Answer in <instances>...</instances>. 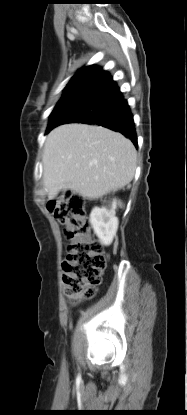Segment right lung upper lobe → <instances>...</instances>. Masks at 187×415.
Here are the masks:
<instances>
[{"mask_svg":"<svg viewBox=\"0 0 187 415\" xmlns=\"http://www.w3.org/2000/svg\"><path fill=\"white\" fill-rule=\"evenodd\" d=\"M98 69H100V67H97L95 65H90L87 66L81 70H79L70 80V82L67 84L65 91H64V95L62 96L61 99L65 98L68 96V94L70 93V91L74 88V86L80 82L81 80H83L85 77L89 76L90 74H92L93 72L97 71ZM61 101V100H60ZM60 106V104L58 105ZM57 106V107H58ZM56 107V108H57Z\"/></svg>","mask_w":187,"mask_h":415,"instance_id":"1","label":"right lung upper lobe"}]
</instances>
